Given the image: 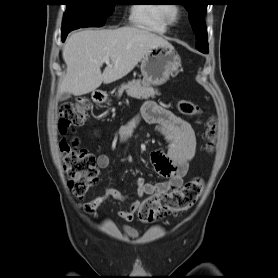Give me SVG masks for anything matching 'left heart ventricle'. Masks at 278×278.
<instances>
[{
    "instance_id": "obj_1",
    "label": "left heart ventricle",
    "mask_w": 278,
    "mask_h": 278,
    "mask_svg": "<svg viewBox=\"0 0 278 278\" xmlns=\"http://www.w3.org/2000/svg\"><path fill=\"white\" fill-rule=\"evenodd\" d=\"M169 14H170L172 17H174V16H176V14H177V10H176L174 7H172V8L169 10Z\"/></svg>"
}]
</instances>
